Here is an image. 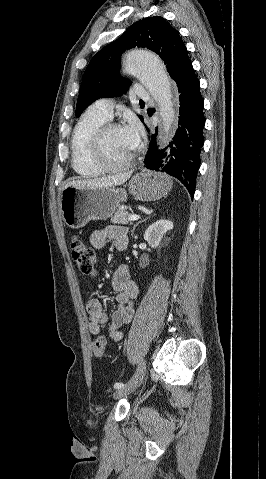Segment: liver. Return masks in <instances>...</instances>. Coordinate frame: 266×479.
Listing matches in <instances>:
<instances>
[{"label": "liver", "mask_w": 266, "mask_h": 479, "mask_svg": "<svg viewBox=\"0 0 266 479\" xmlns=\"http://www.w3.org/2000/svg\"><path fill=\"white\" fill-rule=\"evenodd\" d=\"M131 172L112 175L96 179L73 180L66 184V187H75L77 189H97L110 188L125 183L131 176Z\"/></svg>", "instance_id": "6515ba94"}]
</instances>
